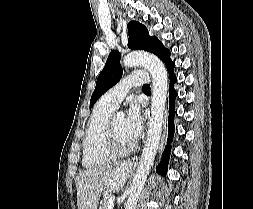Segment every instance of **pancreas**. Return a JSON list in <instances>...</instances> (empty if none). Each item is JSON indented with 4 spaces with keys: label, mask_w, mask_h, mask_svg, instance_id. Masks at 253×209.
Listing matches in <instances>:
<instances>
[{
    "label": "pancreas",
    "mask_w": 253,
    "mask_h": 209,
    "mask_svg": "<svg viewBox=\"0 0 253 209\" xmlns=\"http://www.w3.org/2000/svg\"><path fill=\"white\" fill-rule=\"evenodd\" d=\"M109 200H110V195H107L103 198L102 209H108Z\"/></svg>",
    "instance_id": "cf45deb5"
}]
</instances>
